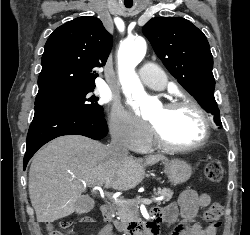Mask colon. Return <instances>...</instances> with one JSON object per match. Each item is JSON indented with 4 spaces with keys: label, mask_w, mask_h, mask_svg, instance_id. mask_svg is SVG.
<instances>
[{
    "label": "colon",
    "mask_w": 250,
    "mask_h": 235,
    "mask_svg": "<svg viewBox=\"0 0 250 235\" xmlns=\"http://www.w3.org/2000/svg\"><path fill=\"white\" fill-rule=\"evenodd\" d=\"M223 167L219 161L212 160L209 161L205 167L206 178L214 183L220 182L223 178ZM223 208L220 204H211L205 211V219L209 225L218 228L221 225V216ZM84 223L93 222L91 218L83 219ZM71 225L69 222H62L56 225H50L48 228L49 235H70Z\"/></svg>",
    "instance_id": "obj_1"
}]
</instances>
